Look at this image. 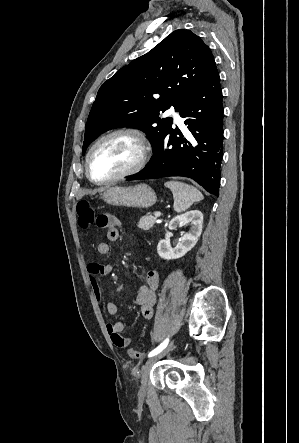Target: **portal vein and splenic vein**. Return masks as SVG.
Returning <instances> with one entry per match:
<instances>
[{"label": "portal vein and splenic vein", "instance_id": "18ae733b", "mask_svg": "<svg viewBox=\"0 0 299 443\" xmlns=\"http://www.w3.org/2000/svg\"><path fill=\"white\" fill-rule=\"evenodd\" d=\"M154 216H155V218H158V217L161 216V213H160V212H155V213H154Z\"/></svg>", "mask_w": 299, "mask_h": 443}]
</instances>
